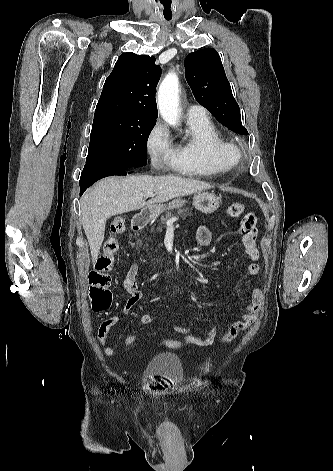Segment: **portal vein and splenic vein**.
Wrapping results in <instances>:
<instances>
[{"label":"portal vein and splenic vein","instance_id":"portal-vein-and-splenic-vein-1","mask_svg":"<svg viewBox=\"0 0 333 471\" xmlns=\"http://www.w3.org/2000/svg\"><path fill=\"white\" fill-rule=\"evenodd\" d=\"M146 196H147V197L153 196V192H148V193L146 194ZM176 220H177V218L174 217V218L168 219L166 223H167V225H172Z\"/></svg>","mask_w":333,"mask_h":471}]
</instances>
